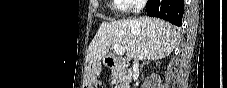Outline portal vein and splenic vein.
<instances>
[{
  "label": "portal vein and splenic vein",
  "mask_w": 227,
  "mask_h": 88,
  "mask_svg": "<svg viewBox=\"0 0 227 88\" xmlns=\"http://www.w3.org/2000/svg\"><path fill=\"white\" fill-rule=\"evenodd\" d=\"M112 47L117 55H123L125 53V49L118 44H113Z\"/></svg>",
  "instance_id": "18ae733b"
}]
</instances>
